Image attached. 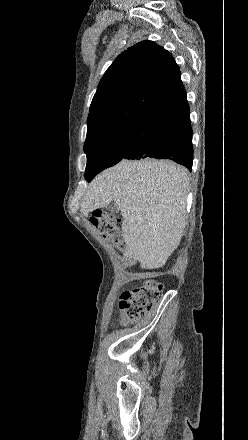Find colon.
Instances as JSON below:
<instances>
[{
  "label": "colon",
  "instance_id": "obj_1",
  "mask_svg": "<svg viewBox=\"0 0 248 440\" xmlns=\"http://www.w3.org/2000/svg\"><path fill=\"white\" fill-rule=\"evenodd\" d=\"M90 222L102 236L119 249H124L119 218L101 210L92 214ZM162 284L154 279H146L141 285L124 291L119 300L120 322L127 326L138 322L153 308L162 291Z\"/></svg>",
  "mask_w": 248,
  "mask_h": 440
}]
</instances>
